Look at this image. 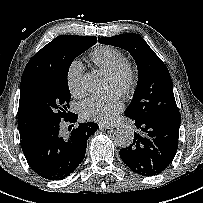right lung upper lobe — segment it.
<instances>
[{
	"label": "right lung upper lobe",
	"mask_w": 203,
	"mask_h": 203,
	"mask_svg": "<svg viewBox=\"0 0 203 203\" xmlns=\"http://www.w3.org/2000/svg\"><path fill=\"white\" fill-rule=\"evenodd\" d=\"M88 41L93 42L95 44L97 42V38L95 36L83 37L73 35H60L55 39H53L46 46H44L41 50H39L29 60L24 69L20 87L18 128L21 139L27 138L32 135L40 134L46 131L39 125V123L32 116V114L29 112V110L25 105L23 90H24V80L27 77V75L32 71L51 65L61 52L67 50L71 46Z\"/></svg>",
	"instance_id": "cb5924a9"
}]
</instances>
